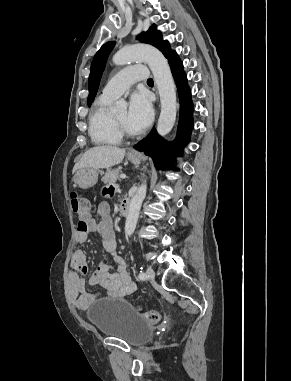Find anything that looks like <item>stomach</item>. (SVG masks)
<instances>
[{"label":"stomach","instance_id":"0dacf381","mask_svg":"<svg viewBox=\"0 0 291 381\" xmlns=\"http://www.w3.org/2000/svg\"><path fill=\"white\" fill-rule=\"evenodd\" d=\"M128 159L135 165L140 164L141 156L133 153L127 154ZM98 181V171L95 169H81L74 176V183L82 189H88L96 185Z\"/></svg>","mask_w":291,"mask_h":381}]
</instances>
